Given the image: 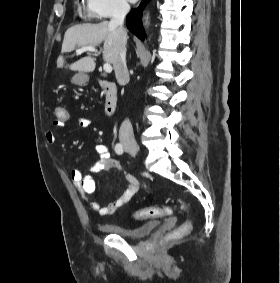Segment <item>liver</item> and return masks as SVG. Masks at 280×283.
<instances>
[{"label": "liver", "instance_id": "6515ba94", "mask_svg": "<svg viewBox=\"0 0 280 283\" xmlns=\"http://www.w3.org/2000/svg\"><path fill=\"white\" fill-rule=\"evenodd\" d=\"M101 43H103L102 52L104 60L112 64L115 69L123 44V37L118 28L111 26L106 21L97 24L84 23L67 29L62 44V55L57 59V68L64 66L65 60L63 54L73 51L76 46H92L95 48ZM67 67L72 71L92 72L95 69V61L91 55H88L71 65H67Z\"/></svg>", "mask_w": 280, "mask_h": 283}]
</instances>
